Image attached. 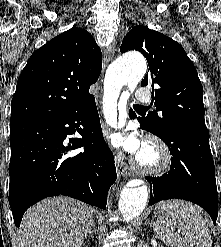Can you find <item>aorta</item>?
Masks as SVG:
<instances>
[{"mask_svg": "<svg viewBox=\"0 0 221 247\" xmlns=\"http://www.w3.org/2000/svg\"><path fill=\"white\" fill-rule=\"evenodd\" d=\"M147 64L140 53H130L115 60L107 69L104 80L103 110L106 121L111 126L117 124V100L121 88L128 84L133 88L145 75ZM148 200L146 185L125 187L119 198V210L125 221L138 217Z\"/></svg>", "mask_w": 221, "mask_h": 247, "instance_id": "1", "label": "aorta"}]
</instances>
